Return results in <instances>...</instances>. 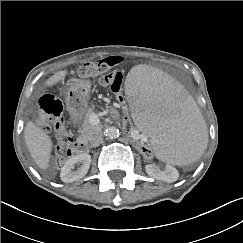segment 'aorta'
I'll return each mask as SVG.
<instances>
[{
  "label": "aorta",
  "instance_id": "762f6f07",
  "mask_svg": "<svg viewBox=\"0 0 243 243\" xmlns=\"http://www.w3.org/2000/svg\"><path fill=\"white\" fill-rule=\"evenodd\" d=\"M105 136L108 138H116L119 136V130L114 126H108L104 131Z\"/></svg>",
  "mask_w": 243,
  "mask_h": 243
}]
</instances>
